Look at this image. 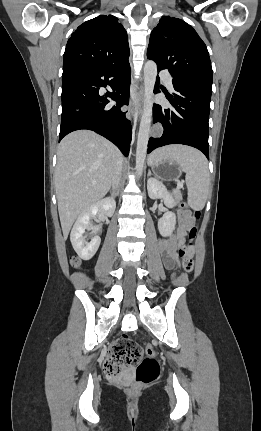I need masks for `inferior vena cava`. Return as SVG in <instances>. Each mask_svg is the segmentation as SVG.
Instances as JSON below:
<instances>
[{
    "label": "inferior vena cava",
    "mask_w": 261,
    "mask_h": 431,
    "mask_svg": "<svg viewBox=\"0 0 261 431\" xmlns=\"http://www.w3.org/2000/svg\"><path fill=\"white\" fill-rule=\"evenodd\" d=\"M121 170H122V163H120L119 168L117 170V173H116V175H115V177L113 179V182H112V190L114 192H116L118 190V188H119Z\"/></svg>",
    "instance_id": "obj_1"
}]
</instances>
